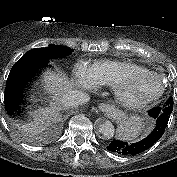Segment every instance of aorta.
I'll list each match as a JSON object with an SVG mask.
<instances>
[{
    "mask_svg": "<svg viewBox=\"0 0 177 177\" xmlns=\"http://www.w3.org/2000/svg\"><path fill=\"white\" fill-rule=\"evenodd\" d=\"M97 131L102 138L111 139L114 136L115 128L109 120H102L97 124Z\"/></svg>",
    "mask_w": 177,
    "mask_h": 177,
    "instance_id": "aorta-1",
    "label": "aorta"
}]
</instances>
